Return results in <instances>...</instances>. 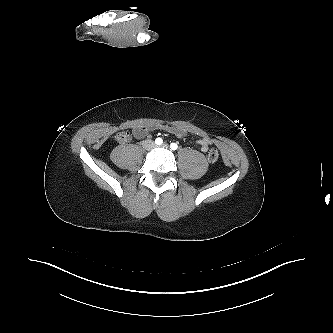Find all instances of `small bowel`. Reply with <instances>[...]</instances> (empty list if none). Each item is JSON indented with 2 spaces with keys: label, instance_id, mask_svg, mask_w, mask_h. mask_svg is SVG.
Wrapping results in <instances>:
<instances>
[{
  "label": "small bowel",
  "instance_id": "small-bowel-1",
  "mask_svg": "<svg viewBox=\"0 0 333 333\" xmlns=\"http://www.w3.org/2000/svg\"><path fill=\"white\" fill-rule=\"evenodd\" d=\"M149 130L150 129L145 126H137L133 129V135L135 138L141 139L149 133ZM166 130L178 137L186 135V130L183 129L182 127L171 126V127H166ZM197 143L200 146L202 152H207L211 144V140L207 137H203L198 139Z\"/></svg>",
  "mask_w": 333,
  "mask_h": 333
}]
</instances>
